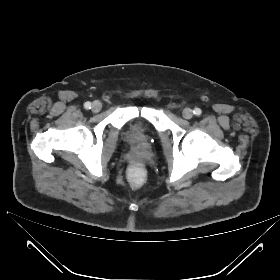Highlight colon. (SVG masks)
Returning a JSON list of instances; mask_svg holds the SVG:
<instances>
[{
    "label": "colon",
    "instance_id": "5ec220e1",
    "mask_svg": "<svg viewBox=\"0 0 280 280\" xmlns=\"http://www.w3.org/2000/svg\"><path fill=\"white\" fill-rule=\"evenodd\" d=\"M143 179H144L143 170L138 166H133L131 168V174L129 177L130 184L134 187H138L142 184Z\"/></svg>",
    "mask_w": 280,
    "mask_h": 280
}]
</instances>
